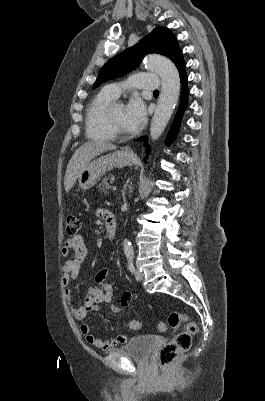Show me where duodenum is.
Wrapping results in <instances>:
<instances>
[{"label":"duodenum","instance_id":"obj_1","mask_svg":"<svg viewBox=\"0 0 265 401\" xmlns=\"http://www.w3.org/2000/svg\"><path fill=\"white\" fill-rule=\"evenodd\" d=\"M102 219L104 220L105 223L106 234L108 239L111 241L114 240L117 228L116 218L114 214L110 211L105 210L102 214Z\"/></svg>","mask_w":265,"mask_h":401}]
</instances>
